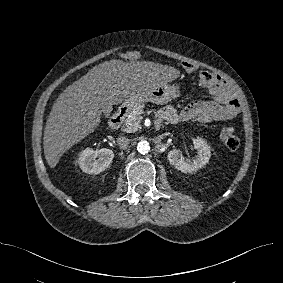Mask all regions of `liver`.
<instances>
[{
    "label": "liver",
    "instance_id": "6515ba94",
    "mask_svg": "<svg viewBox=\"0 0 283 283\" xmlns=\"http://www.w3.org/2000/svg\"><path fill=\"white\" fill-rule=\"evenodd\" d=\"M178 76L175 68L149 61L110 60L90 69L52 107L43 137L48 165L54 168L68 149L92 133L113 105Z\"/></svg>",
    "mask_w": 283,
    "mask_h": 283
}]
</instances>
